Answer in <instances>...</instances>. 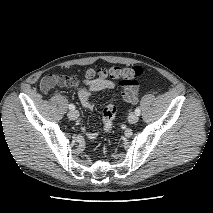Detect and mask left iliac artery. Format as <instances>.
I'll return each mask as SVG.
<instances>
[{"mask_svg":"<svg viewBox=\"0 0 213 213\" xmlns=\"http://www.w3.org/2000/svg\"><path fill=\"white\" fill-rule=\"evenodd\" d=\"M135 113H136L138 116L141 114V110H140L139 107H137V108L135 109Z\"/></svg>","mask_w":213,"mask_h":213,"instance_id":"44dca946","label":"left iliac artery"}]
</instances>
